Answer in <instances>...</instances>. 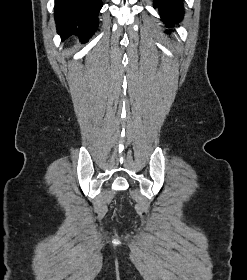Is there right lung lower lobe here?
<instances>
[{
    "instance_id": "obj_1",
    "label": "right lung lower lobe",
    "mask_w": 247,
    "mask_h": 280,
    "mask_svg": "<svg viewBox=\"0 0 247 280\" xmlns=\"http://www.w3.org/2000/svg\"><path fill=\"white\" fill-rule=\"evenodd\" d=\"M101 0H55V22L62 39L77 35L90 38L98 27Z\"/></svg>"
}]
</instances>
